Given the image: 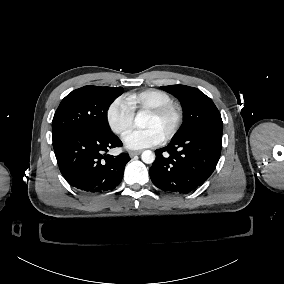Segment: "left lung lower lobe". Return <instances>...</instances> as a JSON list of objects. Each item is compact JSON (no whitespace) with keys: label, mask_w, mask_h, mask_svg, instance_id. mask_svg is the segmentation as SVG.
<instances>
[{"label":"left lung lower lobe","mask_w":284,"mask_h":284,"mask_svg":"<svg viewBox=\"0 0 284 284\" xmlns=\"http://www.w3.org/2000/svg\"><path fill=\"white\" fill-rule=\"evenodd\" d=\"M221 146L222 132L216 130L173 137L168 146L155 151L157 158L149 169L153 184L180 194L195 190L215 170Z\"/></svg>","instance_id":"0a47b994"}]
</instances>
